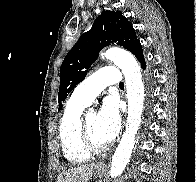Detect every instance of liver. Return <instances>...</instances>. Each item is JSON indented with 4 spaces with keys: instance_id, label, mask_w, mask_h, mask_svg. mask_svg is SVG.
<instances>
[{
    "instance_id": "1",
    "label": "liver",
    "mask_w": 196,
    "mask_h": 182,
    "mask_svg": "<svg viewBox=\"0 0 196 182\" xmlns=\"http://www.w3.org/2000/svg\"><path fill=\"white\" fill-rule=\"evenodd\" d=\"M95 164H84L62 171L56 182H89L92 178Z\"/></svg>"
}]
</instances>
